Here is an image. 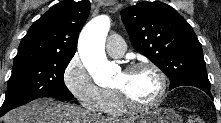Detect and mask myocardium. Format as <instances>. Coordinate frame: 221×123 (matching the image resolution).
<instances>
[{
	"instance_id": "obj_1",
	"label": "myocardium",
	"mask_w": 221,
	"mask_h": 123,
	"mask_svg": "<svg viewBox=\"0 0 221 123\" xmlns=\"http://www.w3.org/2000/svg\"><path fill=\"white\" fill-rule=\"evenodd\" d=\"M141 69H150L157 75L159 79V83H160L159 94L156 97V99L152 101L151 103L140 104V103L133 101L123 89L113 88V92L119 99L120 103L128 111H148V110L154 109L161 105V103L164 101L166 94H167L168 82H167L166 74L163 72V70L159 66H157L153 62L144 61V62L134 63V64L127 66L123 70V72L125 74H130Z\"/></svg>"
}]
</instances>
